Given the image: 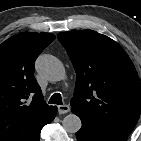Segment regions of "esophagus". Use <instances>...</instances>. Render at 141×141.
<instances>
[{
	"label": "esophagus",
	"instance_id": "esophagus-1",
	"mask_svg": "<svg viewBox=\"0 0 141 141\" xmlns=\"http://www.w3.org/2000/svg\"><path fill=\"white\" fill-rule=\"evenodd\" d=\"M70 111V107L68 105H59L58 106V113L59 114H65Z\"/></svg>",
	"mask_w": 141,
	"mask_h": 141
}]
</instances>
